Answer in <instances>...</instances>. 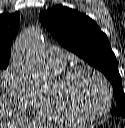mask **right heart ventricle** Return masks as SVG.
Returning <instances> with one entry per match:
<instances>
[{"instance_id":"1","label":"right heart ventricle","mask_w":125,"mask_h":128,"mask_svg":"<svg viewBox=\"0 0 125 128\" xmlns=\"http://www.w3.org/2000/svg\"><path fill=\"white\" fill-rule=\"evenodd\" d=\"M52 71L60 76L65 72L63 67H51ZM32 114L39 120L57 124H74L77 121L67 116L58 106L52 91L40 92L32 109Z\"/></svg>"}]
</instances>
